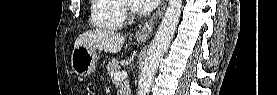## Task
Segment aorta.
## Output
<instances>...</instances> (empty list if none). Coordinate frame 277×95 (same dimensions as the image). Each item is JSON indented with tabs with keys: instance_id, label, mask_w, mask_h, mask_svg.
<instances>
[{
	"instance_id": "1",
	"label": "aorta",
	"mask_w": 277,
	"mask_h": 95,
	"mask_svg": "<svg viewBox=\"0 0 277 95\" xmlns=\"http://www.w3.org/2000/svg\"><path fill=\"white\" fill-rule=\"evenodd\" d=\"M182 3L183 0H169L168 7L155 37L150 44L147 57L145 58L144 65L140 73L138 95L149 94L152 80L165 52L167 51L179 22Z\"/></svg>"
}]
</instances>
